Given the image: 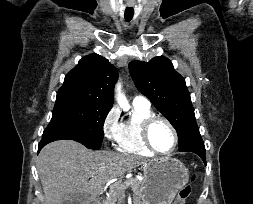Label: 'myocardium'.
<instances>
[{
    "instance_id": "myocardium-1",
    "label": "myocardium",
    "mask_w": 253,
    "mask_h": 204,
    "mask_svg": "<svg viewBox=\"0 0 253 204\" xmlns=\"http://www.w3.org/2000/svg\"><path fill=\"white\" fill-rule=\"evenodd\" d=\"M158 121L164 122L169 127V129L171 130V132L173 134L174 143H173L171 150L168 152L159 151L153 145V143L150 139V130H151L152 126ZM141 137H142V141H143L144 145L151 152L161 155V156H171L172 154H174V152L176 151V149L178 147V143H179L178 133H177L174 125L167 118H165L163 116H159V115H153V116L147 118L146 120H144V122L142 123V127H141Z\"/></svg>"
}]
</instances>
